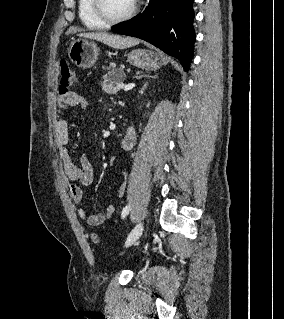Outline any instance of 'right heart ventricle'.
Listing matches in <instances>:
<instances>
[{"instance_id":"e07e8e85","label":"right heart ventricle","mask_w":284,"mask_h":319,"mask_svg":"<svg viewBox=\"0 0 284 319\" xmlns=\"http://www.w3.org/2000/svg\"><path fill=\"white\" fill-rule=\"evenodd\" d=\"M78 15L88 29L98 30L106 27V24L95 14L92 0H78Z\"/></svg>"}]
</instances>
